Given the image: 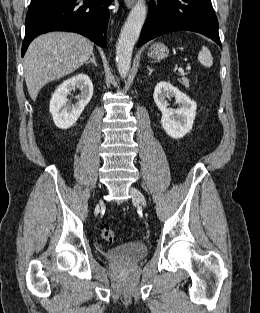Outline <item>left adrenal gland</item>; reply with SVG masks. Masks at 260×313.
<instances>
[{
  "mask_svg": "<svg viewBox=\"0 0 260 313\" xmlns=\"http://www.w3.org/2000/svg\"><path fill=\"white\" fill-rule=\"evenodd\" d=\"M147 69L149 70V75H151L152 72L154 71V69H152V68H150V67H148V66H147Z\"/></svg>",
  "mask_w": 260,
  "mask_h": 313,
  "instance_id": "a2214340",
  "label": "left adrenal gland"
}]
</instances>
